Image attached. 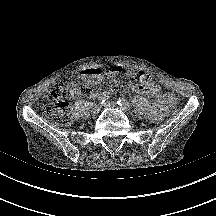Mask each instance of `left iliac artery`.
<instances>
[{"label":"left iliac artery","mask_w":216,"mask_h":216,"mask_svg":"<svg viewBox=\"0 0 216 216\" xmlns=\"http://www.w3.org/2000/svg\"><path fill=\"white\" fill-rule=\"evenodd\" d=\"M117 104L120 105V106H123V107H127V108L130 107L129 102L124 98H119L118 101H117Z\"/></svg>","instance_id":"1"}]
</instances>
